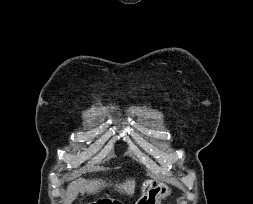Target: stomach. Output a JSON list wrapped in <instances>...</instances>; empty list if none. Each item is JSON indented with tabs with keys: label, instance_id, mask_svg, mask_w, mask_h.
<instances>
[{
	"label": "stomach",
	"instance_id": "0dacf381",
	"mask_svg": "<svg viewBox=\"0 0 253 204\" xmlns=\"http://www.w3.org/2000/svg\"><path fill=\"white\" fill-rule=\"evenodd\" d=\"M141 189V197L135 204H161L171 194V189L165 183L154 179H145Z\"/></svg>",
	"mask_w": 253,
	"mask_h": 204
}]
</instances>
